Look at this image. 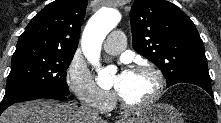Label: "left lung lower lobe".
I'll list each match as a JSON object with an SVG mask.
<instances>
[{"mask_svg":"<svg viewBox=\"0 0 221 123\" xmlns=\"http://www.w3.org/2000/svg\"><path fill=\"white\" fill-rule=\"evenodd\" d=\"M211 81H205V80H200V79H185L182 81H179L177 83H190V84H195L201 88H203L204 90H206L212 97H213V93H212V89H211ZM176 84V83H174ZM173 84V85H174ZM171 86V85H170ZM169 87V86H167Z\"/></svg>","mask_w":221,"mask_h":123,"instance_id":"obj_1","label":"left lung lower lobe"}]
</instances>
